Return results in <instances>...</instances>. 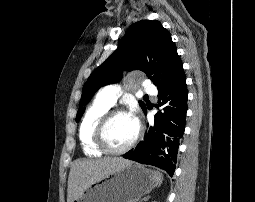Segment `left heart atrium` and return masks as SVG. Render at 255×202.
Returning <instances> with one entry per match:
<instances>
[{
  "label": "left heart atrium",
  "instance_id": "1",
  "mask_svg": "<svg viewBox=\"0 0 255 202\" xmlns=\"http://www.w3.org/2000/svg\"><path fill=\"white\" fill-rule=\"evenodd\" d=\"M132 122L138 127L139 126V117H138V112L136 108H132L130 112L127 114Z\"/></svg>",
  "mask_w": 255,
  "mask_h": 202
}]
</instances>
